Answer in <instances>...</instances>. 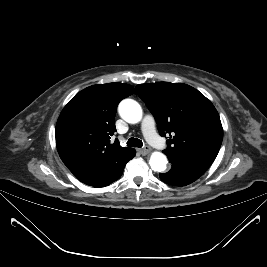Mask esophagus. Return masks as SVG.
Instances as JSON below:
<instances>
[{"label": "esophagus", "instance_id": "34e87169", "mask_svg": "<svg viewBox=\"0 0 267 267\" xmlns=\"http://www.w3.org/2000/svg\"><path fill=\"white\" fill-rule=\"evenodd\" d=\"M150 151V149L148 147H145L143 149H140L139 152L142 154V155H146L148 154Z\"/></svg>", "mask_w": 267, "mask_h": 267}]
</instances>
